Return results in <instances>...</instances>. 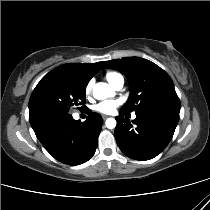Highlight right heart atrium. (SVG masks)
Here are the masks:
<instances>
[{
    "instance_id": "right-heart-atrium-1",
    "label": "right heart atrium",
    "mask_w": 210,
    "mask_h": 210,
    "mask_svg": "<svg viewBox=\"0 0 210 210\" xmlns=\"http://www.w3.org/2000/svg\"><path fill=\"white\" fill-rule=\"evenodd\" d=\"M93 81H89L85 87V95L89 97L92 93Z\"/></svg>"
}]
</instances>
